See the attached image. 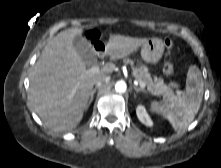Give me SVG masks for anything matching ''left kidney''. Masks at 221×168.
I'll return each instance as SVG.
<instances>
[{"label": "left kidney", "instance_id": "1", "mask_svg": "<svg viewBox=\"0 0 221 168\" xmlns=\"http://www.w3.org/2000/svg\"><path fill=\"white\" fill-rule=\"evenodd\" d=\"M136 114L138 119L141 121V123H143L146 126H152L153 122L150 118V116L148 115V113L146 112V109L144 106L139 105L136 109Z\"/></svg>", "mask_w": 221, "mask_h": 168}]
</instances>
